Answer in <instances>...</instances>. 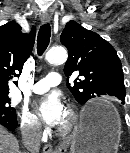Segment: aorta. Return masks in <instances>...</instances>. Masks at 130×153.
Listing matches in <instances>:
<instances>
[{"label": "aorta", "instance_id": "762f6f07", "mask_svg": "<svg viewBox=\"0 0 130 153\" xmlns=\"http://www.w3.org/2000/svg\"><path fill=\"white\" fill-rule=\"evenodd\" d=\"M67 52L64 48L62 47H55L50 49L45 56V59L47 60L48 63L50 64H63L67 60Z\"/></svg>", "mask_w": 130, "mask_h": 153}]
</instances>
